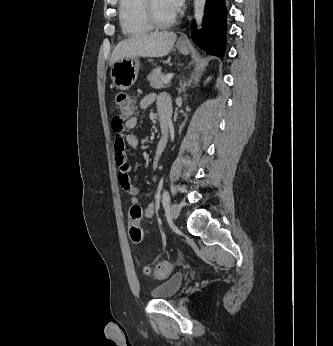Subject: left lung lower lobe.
<instances>
[{"instance_id": "obj_1", "label": "left lung lower lobe", "mask_w": 333, "mask_h": 346, "mask_svg": "<svg viewBox=\"0 0 333 346\" xmlns=\"http://www.w3.org/2000/svg\"><path fill=\"white\" fill-rule=\"evenodd\" d=\"M203 28L196 31V24L192 25V38L200 48L206 49L209 54L222 57L226 44L227 9L225 0H206Z\"/></svg>"}]
</instances>
